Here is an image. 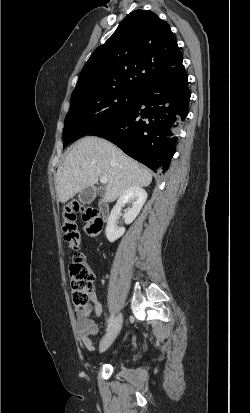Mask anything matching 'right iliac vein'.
I'll return each mask as SVG.
<instances>
[{
    "mask_svg": "<svg viewBox=\"0 0 250 413\" xmlns=\"http://www.w3.org/2000/svg\"><path fill=\"white\" fill-rule=\"evenodd\" d=\"M123 318L121 314H118L113 321L112 327L108 331V333L104 336L100 343V352H104L109 348V346L114 342L116 337L118 336L121 327H122Z\"/></svg>",
    "mask_w": 250,
    "mask_h": 413,
    "instance_id": "obj_1",
    "label": "right iliac vein"
}]
</instances>
